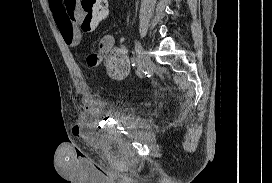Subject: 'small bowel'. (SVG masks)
<instances>
[{
	"label": "small bowel",
	"mask_w": 272,
	"mask_h": 183,
	"mask_svg": "<svg viewBox=\"0 0 272 183\" xmlns=\"http://www.w3.org/2000/svg\"><path fill=\"white\" fill-rule=\"evenodd\" d=\"M47 2L64 42L71 47L79 45L82 31L78 27V14L76 13V18L71 23L67 20V0H47ZM114 43L112 35H104L99 41L98 49L101 54H108L106 61L109 71L115 78L121 79L127 76L130 67L125 50L115 48ZM99 58L98 56V61ZM82 118L83 114H79L77 121Z\"/></svg>",
	"instance_id": "small-bowel-1"
}]
</instances>
